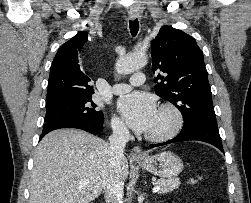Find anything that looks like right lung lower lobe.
Masks as SVG:
<instances>
[{
  "label": "right lung lower lobe",
  "mask_w": 251,
  "mask_h": 203,
  "mask_svg": "<svg viewBox=\"0 0 251 203\" xmlns=\"http://www.w3.org/2000/svg\"><path fill=\"white\" fill-rule=\"evenodd\" d=\"M60 128H77L92 134H98L103 131L104 127L103 124L84 117H63L46 122L40 139L47 133Z\"/></svg>",
  "instance_id": "98d812e1"
}]
</instances>
